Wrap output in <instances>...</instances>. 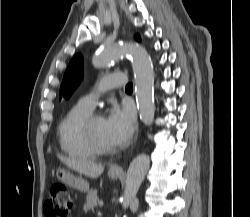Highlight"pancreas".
Instances as JSON below:
<instances>
[{
    "mask_svg": "<svg viewBox=\"0 0 250 217\" xmlns=\"http://www.w3.org/2000/svg\"><path fill=\"white\" fill-rule=\"evenodd\" d=\"M98 196L97 190H90L86 196V201L84 204V211L94 210V207L97 205Z\"/></svg>",
    "mask_w": 250,
    "mask_h": 217,
    "instance_id": "cf45deb5",
    "label": "pancreas"
}]
</instances>
